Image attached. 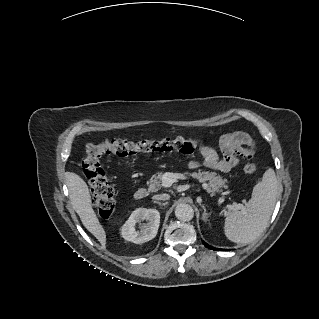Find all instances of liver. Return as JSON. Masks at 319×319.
Returning a JSON list of instances; mask_svg holds the SVG:
<instances>
[{
	"label": "liver",
	"mask_w": 319,
	"mask_h": 319,
	"mask_svg": "<svg viewBox=\"0 0 319 319\" xmlns=\"http://www.w3.org/2000/svg\"><path fill=\"white\" fill-rule=\"evenodd\" d=\"M67 185L72 205L83 225L102 246H105L106 232L92 207L91 195L86 182L77 174L68 173Z\"/></svg>",
	"instance_id": "liver-1"
}]
</instances>
